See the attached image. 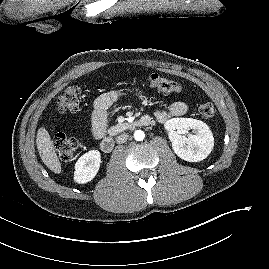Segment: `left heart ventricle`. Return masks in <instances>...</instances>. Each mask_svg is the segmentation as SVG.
I'll return each instance as SVG.
<instances>
[{
  "label": "left heart ventricle",
  "instance_id": "1",
  "mask_svg": "<svg viewBox=\"0 0 269 269\" xmlns=\"http://www.w3.org/2000/svg\"><path fill=\"white\" fill-rule=\"evenodd\" d=\"M39 1V0H38ZM40 1H42V2H46V1H50V0H40Z\"/></svg>",
  "mask_w": 269,
  "mask_h": 269
}]
</instances>
